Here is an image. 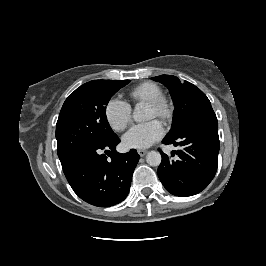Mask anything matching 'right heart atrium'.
<instances>
[{
	"label": "right heart atrium",
	"mask_w": 266,
	"mask_h": 266,
	"mask_svg": "<svg viewBox=\"0 0 266 266\" xmlns=\"http://www.w3.org/2000/svg\"><path fill=\"white\" fill-rule=\"evenodd\" d=\"M105 116L110 126L116 131L124 130L131 122V106L116 97L111 98L105 107Z\"/></svg>",
	"instance_id": "obj_1"
}]
</instances>
